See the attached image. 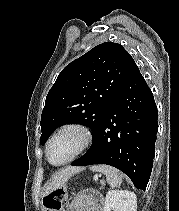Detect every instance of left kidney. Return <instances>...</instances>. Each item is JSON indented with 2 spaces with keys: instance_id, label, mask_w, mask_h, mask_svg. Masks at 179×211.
<instances>
[{
  "instance_id": "left-kidney-1",
  "label": "left kidney",
  "mask_w": 179,
  "mask_h": 211,
  "mask_svg": "<svg viewBox=\"0 0 179 211\" xmlns=\"http://www.w3.org/2000/svg\"><path fill=\"white\" fill-rule=\"evenodd\" d=\"M104 211H137V198L127 190H111L106 194Z\"/></svg>"
}]
</instances>
